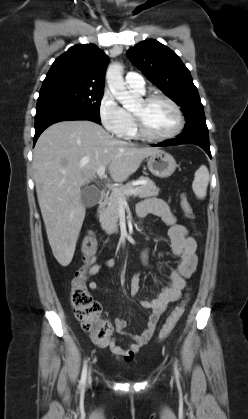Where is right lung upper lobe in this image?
<instances>
[{
    "label": "right lung upper lobe",
    "instance_id": "obj_1",
    "mask_svg": "<svg viewBox=\"0 0 248 419\" xmlns=\"http://www.w3.org/2000/svg\"><path fill=\"white\" fill-rule=\"evenodd\" d=\"M107 63L106 54L94 44L72 46L54 61L42 88L72 86L104 90Z\"/></svg>",
    "mask_w": 248,
    "mask_h": 419
}]
</instances>
